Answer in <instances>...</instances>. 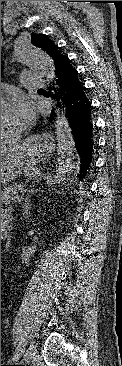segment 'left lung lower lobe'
Here are the masks:
<instances>
[{
	"label": "left lung lower lobe",
	"instance_id": "obj_1",
	"mask_svg": "<svg viewBox=\"0 0 122 366\" xmlns=\"http://www.w3.org/2000/svg\"><path fill=\"white\" fill-rule=\"evenodd\" d=\"M56 94L50 96L57 101L61 100L66 108V116L69 120L74 139L76 141L77 152L80 156L79 178L84 179L89 172L94 153V125L92 122V106L87 96V89L81 82L78 72L71 65L67 56L61 58L56 65ZM54 85V84H53ZM60 94V95H59ZM45 93L44 96H48ZM53 117L51 116V119Z\"/></svg>",
	"mask_w": 122,
	"mask_h": 366
}]
</instances>
